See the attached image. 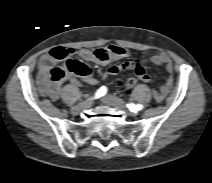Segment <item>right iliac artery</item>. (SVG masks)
<instances>
[{"label":"right iliac artery","mask_w":212,"mask_h":183,"mask_svg":"<svg viewBox=\"0 0 212 183\" xmlns=\"http://www.w3.org/2000/svg\"><path fill=\"white\" fill-rule=\"evenodd\" d=\"M107 92V88L105 86H102L100 89L97 90V92L95 93V98H100L102 96H104Z\"/></svg>","instance_id":"right-iliac-artery-1"}]
</instances>
